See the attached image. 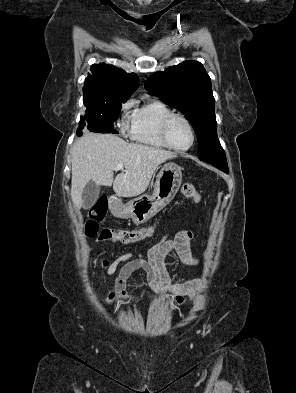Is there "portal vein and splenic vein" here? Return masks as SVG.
Listing matches in <instances>:
<instances>
[{"mask_svg":"<svg viewBox=\"0 0 296 393\" xmlns=\"http://www.w3.org/2000/svg\"><path fill=\"white\" fill-rule=\"evenodd\" d=\"M123 167H124L123 163H119V164L114 168V170H115V171H117V170H122Z\"/></svg>","mask_w":296,"mask_h":393,"instance_id":"portal-vein-and-splenic-vein-1","label":"portal vein and splenic vein"}]
</instances>
